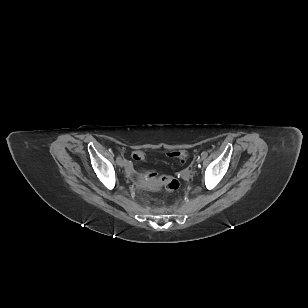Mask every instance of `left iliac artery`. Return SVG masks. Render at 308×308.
Here are the masks:
<instances>
[{
	"label": "left iliac artery",
	"instance_id": "obj_1",
	"mask_svg": "<svg viewBox=\"0 0 308 308\" xmlns=\"http://www.w3.org/2000/svg\"><path fill=\"white\" fill-rule=\"evenodd\" d=\"M202 156H203V158H205V157H207V152H202V154H201Z\"/></svg>",
	"mask_w": 308,
	"mask_h": 308
}]
</instances>
